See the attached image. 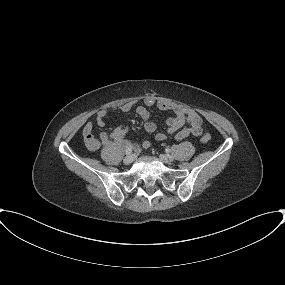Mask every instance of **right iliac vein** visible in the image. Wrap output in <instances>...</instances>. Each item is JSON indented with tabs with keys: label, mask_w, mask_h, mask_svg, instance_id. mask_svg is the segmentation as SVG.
<instances>
[{
	"label": "right iliac vein",
	"mask_w": 285,
	"mask_h": 285,
	"mask_svg": "<svg viewBox=\"0 0 285 285\" xmlns=\"http://www.w3.org/2000/svg\"><path fill=\"white\" fill-rule=\"evenodd\" d=\"M135 157L134 155L130 154V155H127L124 159H123V162L124 164H130L134 161Z\"/></svg>",
	"instance_id": "63e3f726"
}]
</instances>
